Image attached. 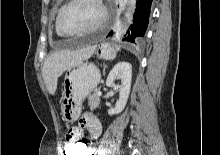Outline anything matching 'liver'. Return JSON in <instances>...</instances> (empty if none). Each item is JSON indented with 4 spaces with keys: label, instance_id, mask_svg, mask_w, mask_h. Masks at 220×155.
<instances>
[{
    "label": "liver",
    "instance_id": "6515ba94",
    "mask_svg": "<svg viewBox=\"0 0 220 155\" xmlns=\"http://www.w3.org/2000/svg\"><path fill=\"white\" fill-rule=\"evenodd\" d=\"M95 47L79 50H61L51 54L44 62L42 75L47 90L54 95L57 90L58 78L67 70H71L90 58Z\"/></svg>",
    "mask_w": 220,
    "mask_h": 155
}]
</instances>
